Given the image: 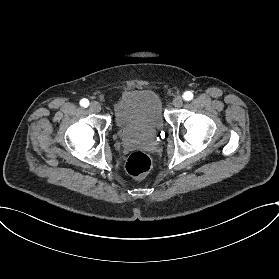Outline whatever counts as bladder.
<instances>
[{
  "label": "bladder",
  "mask_w": 279,
  "mask_h": 279,
  "mask_svg": "<svg viewBox=\"0 0 279 279\" xmlns=\"http://www.w3.org/2000/svg\"><path fill=\"white\" fill-rule=\"evenodd\" d=\"M112 116L122 137L154 134L165 124L162 104L151 90H138L119 98L113 105Z\"/></svg>",
  "instance_id": "31cf9c89"
}]
</instances>
